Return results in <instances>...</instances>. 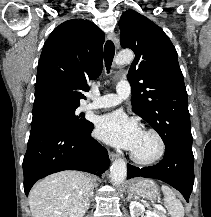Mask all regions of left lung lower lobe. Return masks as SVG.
<instances>
[{"mask_svg": "<svg viewBox=\"0 0 211 217\" xmlns=\"http://www.w3.org/2000/svg\"><path fill=\"white\" fill-rule=\"evenodd\" d=\"M164 158L149 168L127 164L128 179L133 177L155 178L179 190L188 202L194 184V156L192 145L179 141L165 144Z\"/></svg>", "mask_w": 211, "mask_h": 217, "instance_id": "1", "label": "left lung lower lobe"}]
</instances>
